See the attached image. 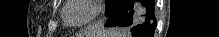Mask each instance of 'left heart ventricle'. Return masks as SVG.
Instances as JSON below:
<instances>
[{
  "instance_id": "left-heart-ventricle-1",
  "label": "left heart ventricle",
  "mask_w": 219,
  "mask_h": 37,
  "mask_svg": "<svg viewBox=\"0 0 219 37\" xmlns=\"http://www.w3.org/2000/svg\"><path fill=\"white\" fill-rule=\"evenodd\" d=\"M73 1L66 11L67 19L71 22H81L87 19L93 11L92 7L84 0Z\"/></svg>"
}]
</instances>
